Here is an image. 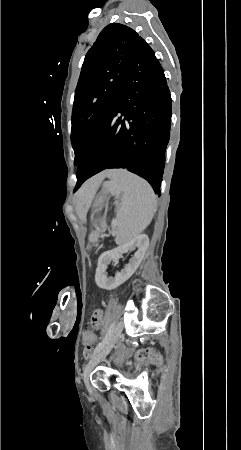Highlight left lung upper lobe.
Wrapping results in <instances>:
<instances>
[{"label": "left lung upper lobe", "instance_id": "1", "mask_svg": "<svg viewBox=\"0 0 241 450\" xmlns=\"http://www.w3.org/2000/svg\"><path fill=\"white\" fill-rule=\"evenodd\" d=\"M146 45L131 28L109 24L87 52L72 111L74 165H78L90 137L118 102L135 50Z\"/></svg>", "mask_w": 241, "mask_h": 450}]
</instances>
